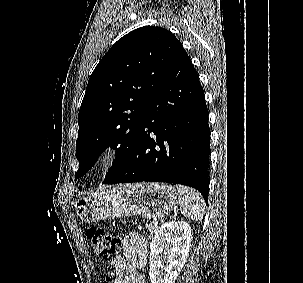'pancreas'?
<instances>
[{
	"mask_svg": "<svg viewBox=\"0 0 303 283\" xmlns=\"http://www.w3.org/2000/svg\"><path fill=\"white\" fill-rule=\"evenodd\" d=\"M146 228L149 230V237L153 238V236L158 232L159 227L155 222H151L149 225H146Z\"/></svg>",
	"mask_w": 303,
	"mask_h": 283,
	"instance_id": "pancreas-1",
	"label": "pancreas"
}]
</instances>
